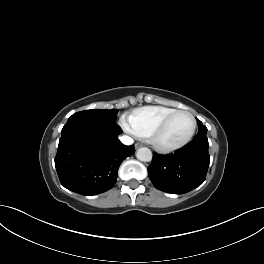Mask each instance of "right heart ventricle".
<instances>
[{
  "label": "right heart ventricle",
  "instance_id": "obj_1",
  "mask_svg": "<svg viewBox=\"0 0 264 264\" xmlns=\"http://www.w3.org/2000/svg\"><path fill=\"white\" fill-rule=\"evenodd\" d=\"M173 107L152 105L135 109L128 117L133 133L148 138L154 128L171 112Z\"/></svg>",
  "mask_w": 264,
  "mask_h": 264
}]
</instances>
